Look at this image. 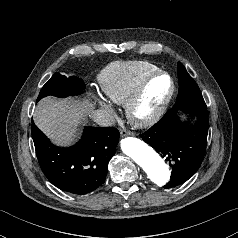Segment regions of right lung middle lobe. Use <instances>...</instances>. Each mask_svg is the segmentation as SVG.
<instances>
[{
    "label": "right lung middle lobe",
    "mask_w": 238,
    "mask_h": 238,
    "mask_svg": "<svg viewBox=\"0 0 238 238\" xmlns=\"http://www.w3.org/2000/svg\"><path fill=\"white\" fill-rule=\"evenodd\" d=\"M84 88L85 85L80 78L75 76L67 78L59 73H55L41 89L37 101L48 95L56 97L78 95Z\"/></svg>",
    "instance_id": "1"
}]
</instances>
